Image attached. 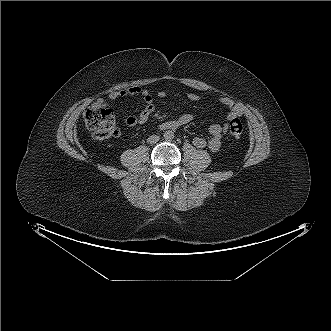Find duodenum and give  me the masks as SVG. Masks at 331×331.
Returning <instances> with one entry per match:
<instances>
[{
  "mask_svg": "<svg viewBox=\"0 0 331 331\" xmlns=\"http://www.w3.org/2000/svg\"><path fill=\"white\" fill-rule=\"evenodd\" d=\"M179 127V124L176 121H168L163 125L164 130H175Z\"/></svg>",
  "mask_w": 331,
  "mask_h": 331,
  "instance_id": "obj_1",
  "label": "duodenum"
}]
</instances>
